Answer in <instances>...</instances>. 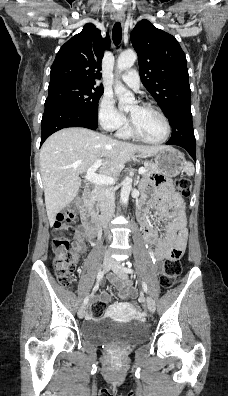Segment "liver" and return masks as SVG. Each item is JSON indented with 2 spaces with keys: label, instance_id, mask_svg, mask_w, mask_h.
Segmentation results:
<instances>
[{
  "label": "liver",
  "instance_id": "obj_1",
  "mask_svg": "<svg viewBox=\"0 0 228 396\" xmlns=\"http://www.w3.org/2000/svg\"><path fill=\"white\" fill-rule=\"evenodd\" d=\"M167 146H140L118 141L92 130L73 127L51 135L40 150V171L50 226L56 215L77 196L80 174L97 160L100 175L116 177L125 164L138 156L156 153Z\"/></svg>",
  "mask_w": 228,
  "mask_h": 396
}]
</instances>
